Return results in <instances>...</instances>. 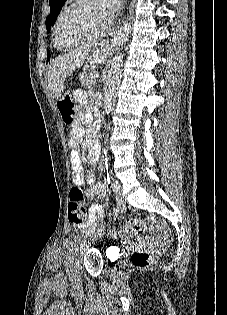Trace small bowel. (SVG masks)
Listing matches in <instances>:
<instances>
[{"instance_id":"1","label":"small bowel","mask_w":227,"mask_h":315,"mask_svg":"<svg viewBox=\"0 0 227 315\" xmlns=\"http://www.w3.org/2000/svg\"><path fill=\"white\" fill-rule=\"evenodd\" d=\"M75 98L79 101L86 97L83 91L77 90L74 93ZM69 146L71 148L70 161L72 168V182L74 185H85L88 187L85 191L86 196L92 197L97 195L101 191V185L96 182L95 172L93 169L85 170L79 151V145L82 144L84 149L89 150L88 163L94 166L97 162L98 151L92 146L90 139L84 138L83 128L76 124L72 127L70 131ZM104 206L102 205H92L89 206V219L83 224H73L75 228H85L94 222L98 223V216L102 217L104 213Z\"/></svg>"}]
</instances>
